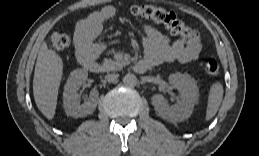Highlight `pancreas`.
Here are the masks:
<instances>
[{"mask_svg": "<svg viewBox=\"0 0 259 156\" xmlns=\"http://www.w3.org/2000/svg\"><path fill=\"white\" fill-rule=\"evenodd\" d=\"M126 63L124 61H114L111 59H105L102 63L103 71H116L122 69Z\"/></svg>", "mask_w": 259, "mask_h": 156, "instance_id": "cf45deb5", "label": "pancreas"}]
</instances>
